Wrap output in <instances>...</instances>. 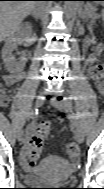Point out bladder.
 <instances>
[{"label":"bladder","mask_w":104,"mask_h":189,"mask_svg":"<svg viewBox=\"0 0 104 189\" xmlns=\"http://www.w3.org/2000/svg\"><path fill=\"white\" fill-rule=\"evenodd\" d=\"M76 169V165L55 155L46 156L41 163L30 170L24 181L31 185L62 183Z\"/></svg>","instance_id":"1"}]
</instances>
